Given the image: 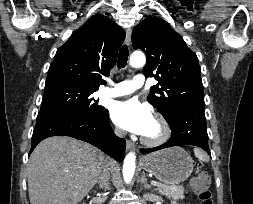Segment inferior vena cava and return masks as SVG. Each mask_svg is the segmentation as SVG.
<instances>
[{"instance_id": "inferior-vena-cava-1", "label": "inferior vena cava", "mask_w": 253, "mask_h": 204, "mask_svg": "<svg viewBox=\"0 0 253 204\" xmlns=\"http://www.w3.org/2000/svg\"><path fill=\"white\" fill-rule=\"evenodd\" d=\"M117 134L120 137H125V132L123 131H117ZM111 167L109 166V163H106L103 167V170L99 177V187L102 189H107L109 186V176H110Z\"/></svg>"}]
</instances>
